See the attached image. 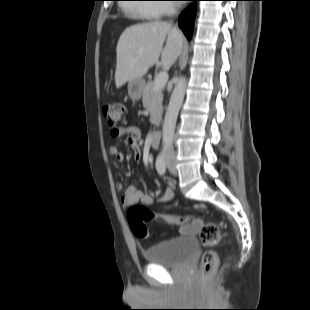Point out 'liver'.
Instances as JSON below:
<instances>
[{
  "label": "liver",
  "mask_w": 310,
  "mask_h": 310,
  "mask_svg": "<svg viewBox=\"0 0 310 310\" xmlns=\"http://www.w3.org/2000/svg\"><path fill=\"white\" fill-rule=\"evenodd\" d=\"M183 42L181 32L168 22L154 21L126 28L116 48V87L141 79L160 55L163 69L169 70L180 55Z\"/></svg>",
  "instance_id": "liver-1"
}]
</instances>
